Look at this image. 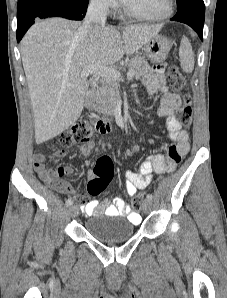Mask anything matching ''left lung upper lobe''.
I'll list each match as a JSON object with an SVG mask.
<instances>
[{"instance_id": "1", "label": "left lung upper lobe", "mask_w": 227, "mask_h": 298, "mask_svg": "<svg viewBox=\"0 0 227 298\" xmlns=\"http://www.w3.org/2000/svg\"><path fill=\"white\" fill-rule=\"evenodd\" d=\"M178 10H183L190 6H195L202 11H205V5L203 0H177Z\"/></svg>"}]
</instances>
